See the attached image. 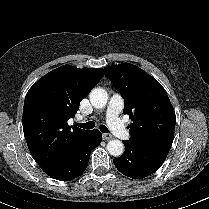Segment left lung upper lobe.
I'll use <instances>...</instances> for the list:
<instances>
[{"mask_svg": "<svg viewBox=\"0 0 209 209\" xmlns=\"http://www.w3.org/2000/svg\"><path fill=\"white\" fill-rule=\"evenodd\" d=\"M106 77L125 100L124 114L133 121L131 141L169 151L174 138L175 111L162 85L133 64L104 68Z\"/></svg>", "mask_w": 209, "mask_h": 209, "instance_id": "5c2ea615", "label": "left lung upper lobe"}]
</instances>
